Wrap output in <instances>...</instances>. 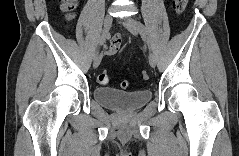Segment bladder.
Here are the masks:
<instances>
[{"mask_svg": "<svg viewBox=\"0 0 239 156\" xmlns=\"http://www.w3.org/2000/svg\"><path fill=\"white\" fill-rule=\"evenodd\" d=\"M93 96L104 107L118 111H135L151 100L152 93L149 89L125 92L112 87H96Z\"/></svg>", "mask_w": 239, "mask_h": 156, "instance_id": "31cf9c89", "label": "bladder"}]
</instances>
